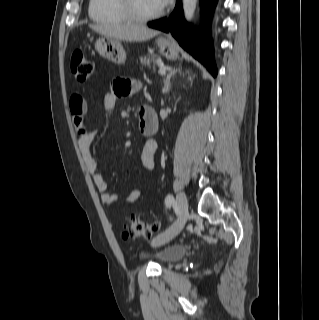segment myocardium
I'll list each match as a JSON object with an SVG mask.
<instances>
[{
    "instance_id": "f54148a6",
    "label": "myocardium",
    "mask_w": 319,
    "mask_h": 320,
    "mask_svg": "<svg viewBox=\"0 0 319 320\" xmlns=\"http://www.w3.org/2000/svg\"><path fill=\"white\" fill-rule=\"evenodd\" d=\"M121 11L127 16V18L134 23H145L155 20L161 17L164 13L163 9H160L152 14L142 15L135 6L134 0H118Z\"/></svg>"
}]
</instances>
